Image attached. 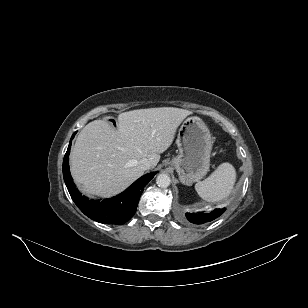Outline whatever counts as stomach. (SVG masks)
Listing matches in <instances>:
<instances>
[{"mask_svg":"<svg viewBox=\"0 0 308 308\" xmlns=\"http://www.w3.org/2000/svg\"><path fill=\"white\" fill-rule=\"evenodd\" d=\"M176 144L179 154L169 161L180 181L191 185L202 179L210 167L213 146L207 125L197 116L187 118L179 128Z\"/></svg>","mask_w":308,"mask_h":308,"instance_id":"0dacf381","label":"stomach"}]
</instances>
